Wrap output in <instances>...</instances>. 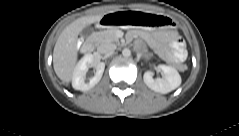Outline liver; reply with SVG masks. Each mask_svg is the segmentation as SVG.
Here are the masks:
<instances>
[{
    "mask_svg": "<svg viewBox=\"0 0 239 136\" xmlns=\"http://www.w3.org/2000/svg\"><path fill=\"white\" fill-rule=\"evenodd\" d=\"M103 15L84 16L70 23L59 35L53 51V67L56 75L64 82L72 80L78 58V35L87 26L102 19Z\"/></svg>",
    "mask_w": 239,
    "mask_h": 136,
    "instance_id": "1",
    "label": "liver"
}]
</instances>
